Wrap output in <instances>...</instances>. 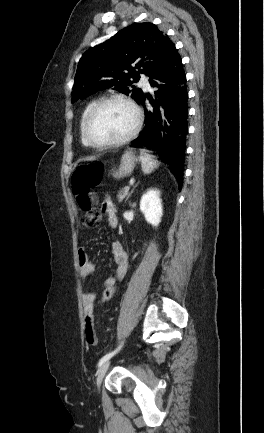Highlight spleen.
Returning <instances> with one entry per match:
<instances>
[{"label": "spleen", "mask_w": 264, "mask_h": 433, "mask_svg": "<svg viewBox=\"0 0 264 433\" xmlns=\"http://www.w3.org/2000/svg\"><path fill=\"white\" fill-rule=\"evenodd\" d=\"M141 167L144 174H150L158 167V163L153 159L147 151L141 150L140 152Z\"/></svg>", "instance_id": "3e777b00"}]
</instances>
